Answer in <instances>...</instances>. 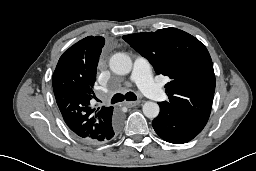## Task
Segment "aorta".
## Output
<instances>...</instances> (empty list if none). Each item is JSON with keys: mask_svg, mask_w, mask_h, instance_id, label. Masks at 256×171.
<instances>
[{"mask_svg": "<svg viewBox=\"0 0 256 171\" xmlns=\"http://www.w3.org/2000/svg\"><path fill=\"white\" fill-rule=\"evenodd\" d=\"M110 69L118 75H126L132 69V60L125 53L114 54L109 62ZM143 113L147 118L154 119L158 116L160 108L159 105L152 101H147L142 107Z\"/></svg>", "mask_w": 256, "mask_h": 171, "instance_id": "762f6f07", "label": "aorta"}]
</instances>
